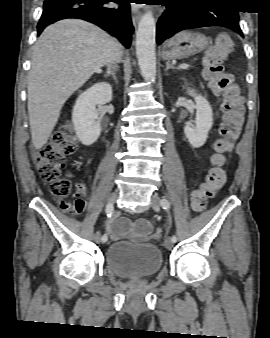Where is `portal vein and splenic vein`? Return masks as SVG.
Returning <instances> with one entry per match:
<instances>
[{
  "label": "portal vein and splenic vein",
  "instance_id": "18ae733b",
  "mask_svg": "<svg viewBox=\"0 0 270 338\" xmlns=\"http://www.w3.org/2000/svg\"><path fill=\"white\" fill-rule=\"evenodd\" d=\"M189 67H190V65L187 64V63H183V64L179 65V68H182V69H188Z\"/></svg>",
  "mask_w": 270,
  "mask_h": 338
}]
</instances>
